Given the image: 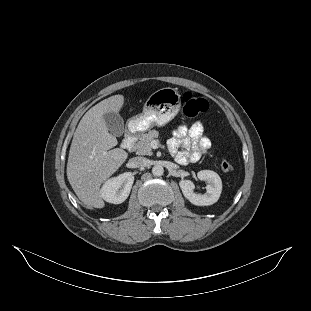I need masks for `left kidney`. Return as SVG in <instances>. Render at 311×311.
Returning <instances> with one entry per match:
<instances>
[{"instance_id":"5707ae66","label":"left kidney","mask_w":311,"mask_h":311,"mask_svg":"<svg viewBox=\"0 0 311 311\" xmlns=\"http://www.w3.org/2000/svg\"><path fill=\"white\" fill-rule=\"evenodd\" d=\"M197 177L208 183L206 186L207 192L205 194H197L194 192L195 185L192 181L181 180L179 186L185 198L197 206H207L216 203L222 192L220 176L211 170H201L197 173Z\"/></svg>"}]
</instances>
